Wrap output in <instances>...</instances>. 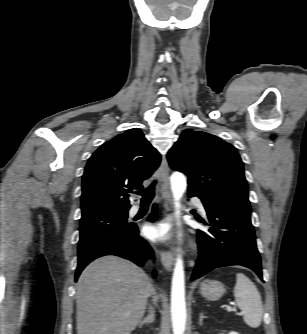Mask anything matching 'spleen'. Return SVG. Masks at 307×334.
Masks as SVG:
<instances>
[{"instance_id": "1", "label": "spleen", "mask_w": 307, "mask_h": 334, "mask_svg": "<svg viewBox=\"0 0 307 334\" xmlns=\"http://www.w3.org/2000/svg\"><path fill=\"white\" fill-rule=\"evenodd\" d=\"M234 296L245 323L252 328L259 327L263 315L261 296L255 284L243 273L236 274Z\"/></svg>"}]
</instances>
